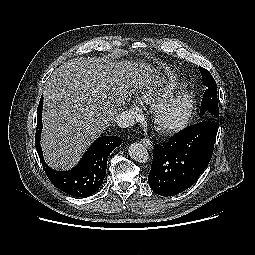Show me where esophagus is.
I'll return each instance as SVG.
<instances>
[{
  "instance_id": "obj_1",
  "label": "esophagus",
  "mask_w": 255,
  "mask_h": 255,
  "mask_svg": "<svg viewBox=\"0 0 255 255\" xmlns=\"http://www.w3.org/2000/svg\"><path fill=\"white\" fill-rule=\"evenodd\" d=\"M141 143L147 147L148 149H152L153 148V142L150 139L147 138H142L141 139Z\"/></svg>"
}]
</instances>
